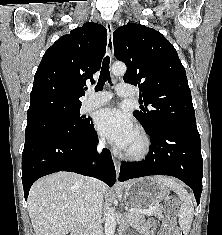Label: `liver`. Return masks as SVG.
Wrapping results in <instances>:
<instances>
[{
	"label": "liver",
	"instance_id": "6515ba94",
	"mask_svg": "<svg viewBox=\"0 0 222 235\" xmlns=\"http://www.w3.org/2000/svg\"><path fill=\"white\" fill-rule=\"evenodd\" d=\"M87 178L57 172L36 181L29 193L28 212L36 235H67L81 223ZM101 182V191L106 192Z\"/></svg>",
	"mask_w": 222,
	"mask_h": 235
}]
</instances>
